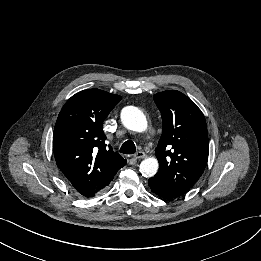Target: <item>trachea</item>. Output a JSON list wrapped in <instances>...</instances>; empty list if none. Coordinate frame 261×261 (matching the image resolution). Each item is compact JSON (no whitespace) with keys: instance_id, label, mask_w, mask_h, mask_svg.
I'll list each match as a JSON object with an SVG mask.
<instances>
[{"instance_id":"3493384b","label":"trachea","mask_w":261,"mask_h":261,"mask_svg":"<svg viewBox=\"0 0 261 261\" xmlns=\"http://www.w3.org/2000/svg\"><path fill=\"white\" fill-rule=\"evenodd\" d=\"M120 152L124 154H134L136 152L135 144L130 140L124 142L120 148Z\"/></svg>"}]
</instances>
